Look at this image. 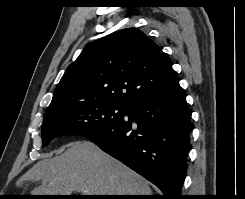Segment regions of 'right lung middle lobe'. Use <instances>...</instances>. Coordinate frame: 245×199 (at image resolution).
Listing matches in <instances>:
<instances>
[{
    "label": "right lung middle lobe",
    "mask_w": 245,
    "mask_h": 199,
    "mask_svg": "<svg viewBox=\"0 0 245 199\" xmlns=\"http://www.w3.org/2000/svg\"><path fill=\"white\" fill-rule=\"evenodd\" d=\"M126 110L127 107L112 103H87L45 116L41 128L42 147L61 135L93 137L122 119Z\"/></svg>",
    "instance_id": "1"
}]
</instances>
